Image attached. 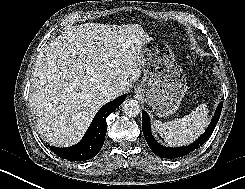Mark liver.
<instances>
[{"mask_svg": "<svg viewBox=\"0 0 245 189\" xmlns=\"http://www.w3.org/2000/svg\"><path fill=\"white\" fill-rule=\"evenodd\" d=\"M138 24L86 23L67 28L39 54L31 79L30 107L47 143H77L97 111L141 75L140 49L151 41ZM111 98V99H112Z\"/></svg>", "mask_w": 245, "mask_h": 189, "instance_id": "6515ba94", "label": "liver"}]
</instances>
